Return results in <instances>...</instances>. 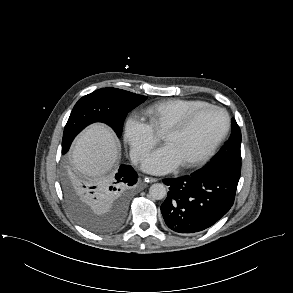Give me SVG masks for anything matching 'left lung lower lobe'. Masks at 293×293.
<instances>
[{
    "label": "left lung lower lobe",
    "mask_w": 293,
    "mask_h": 293,
    "mask_svg": "<svg viewBox=\"0 0 293 293\" xmlns=\"http://www.w3.org/2000/svg\"><path fill=\"white\" fill-rule=\"evenodd\" d=\"M240 177L215 168L164 179L169 186L161 212L167 226L181 234L200 232L221 219L231 208Z\"/></svg>",
    "instance_id": "obj_1"
}]
</instances>
